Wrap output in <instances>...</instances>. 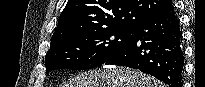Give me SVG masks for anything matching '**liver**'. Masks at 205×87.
Returning a JSON list of instances; mask_svg holds the SVG:
<instances>
[{
  "label": "liver",
  "instance_id": "obj_1",
  "mask_svg": "<svg viewBox=\"0 0 205 87\" xmlns=\"http://www.w3.org/2000/svg\"><path fill=\"white\" fill-rule=\"evenodd\" d=\"M64 87H164L153 77L129 68L109 66L75 76Z\"/></svg>",
  "mask_w": 205,
  "mask_h": 87
}]
</instances>
